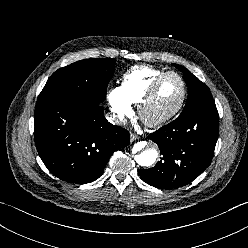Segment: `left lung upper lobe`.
<instances>
[{"mask_svg": "<svg viewBox=\"0 0 248 248\" xmlns=\"http://www.w3.org/2000/svg\"><path fill=\"white\" fill-rule=\"evenodd\" d=\"M175 67L183 72V78L188 86L187 102L180 116L200 109L215 107L209 88L188 69L178 64H175Z\"/></svg>", "mask_w": 248, "mask_h": 248, "instance_id": "5c2ea615", "label": "left lung upper lobe"}]
</instances>
